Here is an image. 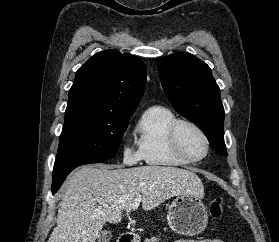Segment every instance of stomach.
Masks as SVG:
<instances>
[{
	"label": "stomach",
	"instance_id": "1",
	"mask_svg": "<svg viewBox=\"0 0 279 242\" xmlns=\"http://www.w3.org/2000/svg\"><path fill=\"white\" fill-rule=\"evenodd\" d=\"M170 229L183 236L200 234L207 226V207L195 195H178L168 208Z\"/></svg>",
	"mask_w": 279,
	"mask_h": 242
}]
</instances>
